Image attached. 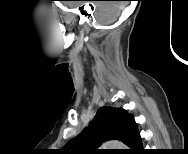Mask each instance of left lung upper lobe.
I'll list each match as a JSON object with an SVG mask.
<instances>
[{
    "mask_svg": "<svg viewBox=\"0 0 188 154\" xmlns=\"http://www.w3.org/2000/svg\"><path fill=\"white\" fill-rule=\"evenodd\" d=\"M133 118L123 108L102 107L90 125L70 140L62 149L68 154H99L103 141L116 139L124 142L130 120Z\"/></svg>",
    "mask_w": 188,
    "mask_h": 154,
    "instance_id": "left-lung-upper-lobe-1",
    "label": "left lung upper lobe"
}]
</instances>
